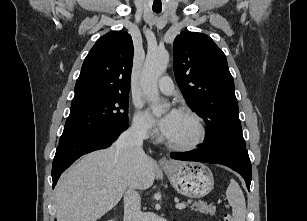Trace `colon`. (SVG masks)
Masks as SVG:
<instances>
[{"instance_id": "obj_1", "label": "colon", "mask_w": 307, "mask_h": 221, "mask_svg": "<svg viewBox=\"0 0 307 221\" xmlns=\"http://www.w3.org/2000/svg\"><path fill=\"white\" fill-rule=\"evenodd\" d=\"M224 221H233V219H232L231 215L227 214L224 217Z\"/></svg>"}]
</instances>
